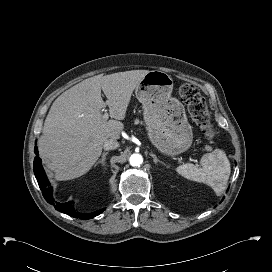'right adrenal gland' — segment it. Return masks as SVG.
Masks as SVG:
<instances>
[{
	"label": "right adrenal gland",
	"instance_id": "1",
	"mask_svg": "<svg viewBox=\"0 0 272 272\" xmlns=\"http://www.w3.org/2000/svg\"><path fill=\"white\" fill-rule=\"evenodd\" d=\"M109 154V152H104L102 154L101 159L95 164V166H97L98 164H102V166H105V161H106V156Z\"/></svg>",
	"mask_w": 272,
	"mask_h": 272
}]
</instances>
